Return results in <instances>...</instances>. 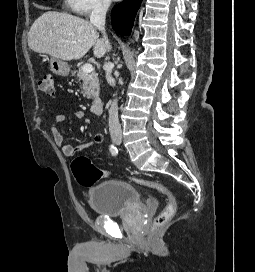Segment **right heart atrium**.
I'll return each mask as SVG.
<instances>
[{"mask_svg": "<svg viewBox=\"0 0 255 272\" xmlns=\"http://www.w3.org/2000/svg\"><path fill=\"white\" fill-rule=\"evenodd\" d=\"M65 8L78 15H88L92 12L106 10L109 0H65Z\"/></svg>", "mask_w": 255, "mask_h": 272, "instance_id": "d8ad5b80", "label": "right heart atrium"}]
</instances>
